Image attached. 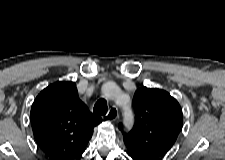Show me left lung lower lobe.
Listing matches in <instances>:
<instances>
[{
    "mask_svg": "<svg viewBox=\"0 0 225 160\" xmlns=\"http://www.w3.org/2000/svg\"><path fill=\"white\" fill-rule=\"evenodd\" d=\"M127 155L130 160H142L139 157H137L136 155L131 154L129 151H127Z\"/></svg>",
    "mask_w": 225,
    "mask_h": 160,
    "instance_id": "left-lung-lower-lobe-1",
    "label": "left lung lower lobe"
}]
</instances>
